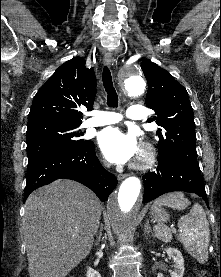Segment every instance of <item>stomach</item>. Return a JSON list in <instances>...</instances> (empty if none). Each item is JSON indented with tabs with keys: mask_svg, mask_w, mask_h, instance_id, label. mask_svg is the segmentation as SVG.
Instances as JSON below:
<instances>
[{
	"mask_svg": "<svg viewBox=\"0 0 221 277\" xmlns=\"http://www.w3.org/2000/svg\"><path fill=\"white\" fill-rule=\"evenodd\" d=\"M150 213L153 217V220L159 222L161 225L164 222H167L169 219V214L166 212V210L156 203L151 207Z\"/></svg>",
	"mask_w": 221,
	"mask_h": 277,
	"instance_id": "obj_1",
	"label": "stomach"
}]
</instances>
